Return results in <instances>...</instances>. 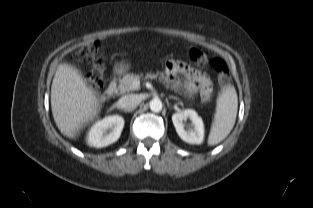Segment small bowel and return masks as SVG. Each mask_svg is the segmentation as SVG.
I'll return each instance as SVG.
<instances>
[{
    "label": "small bowel",
    "mask_w": 313,
    "mask_h": 208,
    "mask_svg": "<svg viewBox=\"0 0 313 208\" xmlns=\"http://www.w3.org/2000/svg\"><path fill=\"white\" fill-rule=\"evenodd\" d=\"M166 73L170 81L182 89L187 95L199 93L204 100H208L212 95V84L209 78L202 72L188 66L181 61L169 60L166 63ZM178 74L186 78L182 82Z\"/></svg>",
    "instance_id": "1"
}]
</instances>
